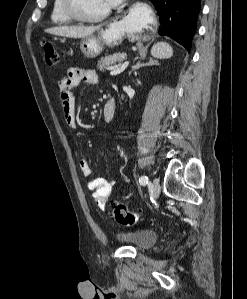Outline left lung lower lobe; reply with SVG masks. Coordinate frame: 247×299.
<instances>
[{"label": "left lung lower lobe", "mask_w": 247, "mask_h": 299, "mask_svg": "<svg viewBox=\"0 0 247 299\" xmlns=\"http://www.w3.org/2000/svg\"><path fill=\"white\" fill-rule=\"evenodd\" d=\"M160 17L159 34L183 45L188 52L196 30L200 0H150Z\"/></svg>", "instance_id": "1"}]
</instances>
